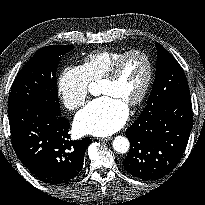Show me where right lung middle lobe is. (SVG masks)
<instances>
[{
	"instance_id": "right-lung-middle-lobe-1",
	"label": "right lung middle lobe",
	"mask_w": 205,
	"mask_h": 205,
	"mask_svg": "<svg viewBox=\"0 0 205 205\" xmlns=\"http://www.w3.org/2000/svg\"><path fill=\"white\" fill-rule=\"evenodd\" d=\"M73 48L68 45H50L39 49L16 76L8 105L27 102L61 113L56 71L62 55Z\"/></svg>"
}]
</instances>
